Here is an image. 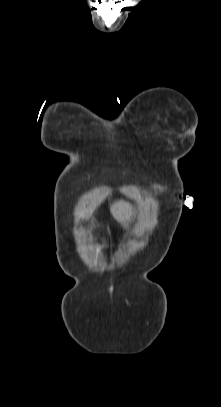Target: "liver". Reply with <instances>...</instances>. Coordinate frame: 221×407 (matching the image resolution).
<instances>
[{
  "instance_id": "obj_1",
  "label": "liver",
  "mask_w": 221,
  "mask_h": 407,
  "mask_svg": "<svg viewBox=\"0 0 221 407\" xmlns=\"http://www.w3.org/2000/svg\"><path fill=\"white\" fill-rule=\"evenodd\" d=\"M112 216L123 226L127 225L133 215L130 204L124 201H116L110 207Z\"/></svg>"
}]
</instances>
